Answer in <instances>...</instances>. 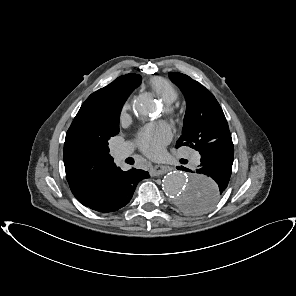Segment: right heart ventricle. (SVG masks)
Here are the masks:
<instances>
[{
	"instance_id": "obj_1",
	"label": "right heart ventricle",
	"mask_w": 296,
	"mask_h": 296,
	"mask_svg": "<svg viewBox=\"0 0 296 296\" xmlns=\"http://www.w3.org/2000/svg\"><path fill=\"white\" fill-rule=\"evenodd\" d=\"M151 90L164 102L172 104L178 99L175 86L163 77H154L149 81Z\"/></svg>"
}]
</instances>
